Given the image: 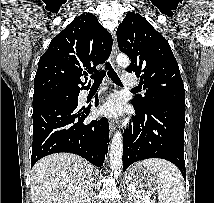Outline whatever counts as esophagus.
<instances>
[{"label":"esophagus","instance_id":"esophagus-1","mask_svg":"<svg viewBox=\"0 0 214 203\" xmlns=\"http://www.w3.org/2000/svg\"><path fill=\"white\" fill-rule=\"evenodd\" d=\"M116 55H117V41H116V35L113 34V45H112V52H111V64L113 66V68L116 70V72H119V68L116 65L115 59H116ZM114 124L110 123L109 125V134L110 137L112 136V134L114 133Z\"/></svg>","mask_w":214,"mask_h":203}]
</instances>
